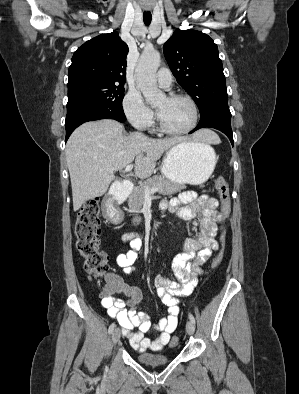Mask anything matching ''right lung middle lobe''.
Instances as JSON below:
<instances>
[{"instance_id": "dd1d6c3e", "label": "right lung middle lobe", "mask_w": 299, "mask_h": 394, "mask_svg": "<svg viewBox=\"0 0 299 394\" xmlns=\"http://www.w3.org/2000/svg\"><path fill=\"white\" fill-rule=\"evenodd\" d=\"M124 87L122 84L93 82L68 87L67 106L75 104H95L111 111L124 114L122 100Z\"/></svg>"}]
</instances>
